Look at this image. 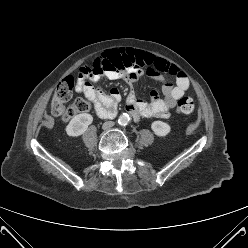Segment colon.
<instances>
[{"instance_id": "5ec220e1", "label": "colon", "mask_w": 248, "mask_h": 248, "mask_svg": "<svg viewBox=\"0 0 248 248\" xmlns=\"http://www.w3.org/2000/svg\"><path fill=\"white\" fill-rule=\"evenodd\" d=\"M130 67L129 62L115 51L109 52L108 55L101 56L92 61L88 66V72L93 74L103 73L106 71H126ZM74 80L71 76L62 79L56 86L52 103V114L63 122H67L77 114L86 113L90 110L91 104L85 99H76L72 105L65 107L72 97ZM195 104L191 97H183L178 103L176 110L180 114H189L194 110Z\"/></svg>"}]
</instances>
